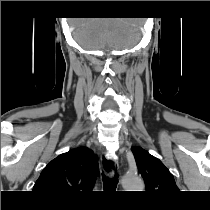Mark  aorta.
<instances>
[{
    "instance_id": "aorta-1",
    "label": "aorta",
    "mask_w": 210,
    "mask_h": 210,
    "mask_svg": "<svg viewBox=\"0 0 210 210\" xmlns=\"http://www.w3.org/2000/svg\"><path fill=\"white\" fill-rule=\"evenodd\" d=\"M122 183L127 191H141L144 188L143 181L137 175H125Z\"/></svg>"
}]
</instances>
